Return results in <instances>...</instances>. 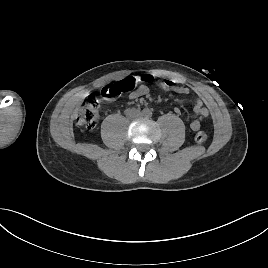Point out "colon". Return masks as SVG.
<instances>
[{
  "label": "colon",
  "instance_id": "colon-1",
  "mask_svg": "<svg viewBox=\"0 0 268 268\" xmlns=\"http://www.w3.org/2000/svg\"><path fill=\"white\" fill-rule=\"evenodd\" d=\"M152 77L144 75L140 77H127L109 86L103 87L100 95L105 100H114L122 93L129 92L134 89L137 82H149ZM100 98L91 94L88 96L86 103L77 111L75 121L78 126L86 129H92L96 126L99 120ZM207 139L204 131H198L195 134V141L203 143Z\"/></svg>",
  "mask_w": 268,
  "mask_h": 268
}]
</instances>
